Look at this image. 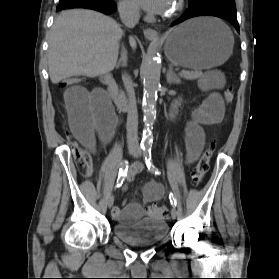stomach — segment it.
<instances>
[{"label": "stomach", "instance_id": "obj_1", "mask_svg": "<svg viewBox=\"0 0 279 279\" xmlns=\"http://www.w3.org/2000/svg\"><path fill=\"white\" fill-rule=\"evenodd\" d=\"M233 45V35L226 31L223 23L213 18H196L167 36L165 53L176 65L202 70L226 62Z\"/></svg>", "mask_w": 279, "mask_h": 279}]
</instances>
